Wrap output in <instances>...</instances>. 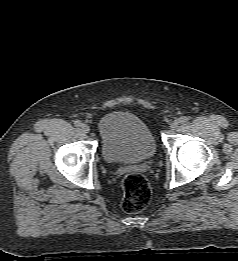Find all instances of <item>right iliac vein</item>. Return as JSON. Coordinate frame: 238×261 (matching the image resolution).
<instances>
[{
    "mask_svg": "<svg viewBox=\"0 0 238 261\" xmlns=\"http://www.w3.org/2000/svg\"><path fill=\"white\" fill-rule=\"evenodd\" d=\"M81 129L85 133H88L90 131V127L87 124H82Z\"/></svg>",
    "mask_w": 238,
    "mask_h": 261,
    "instance_id": "right-iliac-vein-1",
    "label": "right iliac vein"
}]
</instances>
